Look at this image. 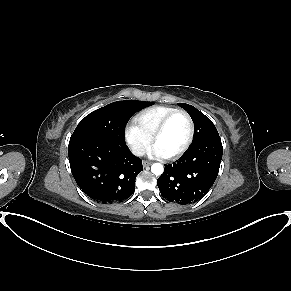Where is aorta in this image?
Segmentation results:
<instances>
[{
	"label": "aorta",
	"mask_w": 291,
	"mask_h": 291,
	"mask_svg": "<svg viewBox=\"0 0 291 291\" xmlns=\"http://www.w3.org/2000/svg\"><path fill=\"white\" fill-rule=\"evenodd\" d=\"M163 171H164L163 165L160 163H154L151 166V172L155 174L156 176L161 175Z\"/></svg>",
	"instance_id": "1"
}]
</instances>
